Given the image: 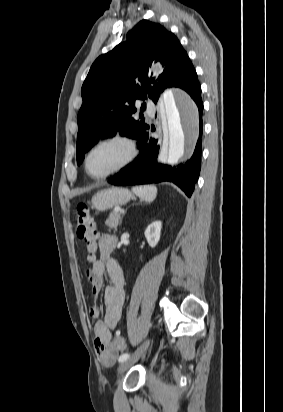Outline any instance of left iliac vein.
<instances>
[{
    "mask_svg": "<svg viewBox=\"0 0 283 412\" xmlns=\"http://www.w3.org/2000/svg\"><path fill=\"white\" fill-rule=\"evenodd\" d=\"M149 345H150V340H147L143 344V346L131 358L122 362V364L119 366V371L123 372L126 369H128L132 364L137 362L145 354V352L149 348Z\"/></svg>",
    "mask_w": 283,
    "mask_h": 412,
    "instance_id": "1",
    "label": "left iliac vein"
}]
</instances>
